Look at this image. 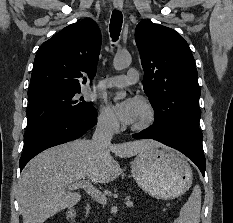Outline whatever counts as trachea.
Listing matches in <instances>:
<instances>
[{
	"instance_id": "obj_1",
	"label": "trachea",
	"mask_w": 233,
	"mask_h": 223,
	"mask_svg": "<svg viewBox=\"0 0 233 223\" xmlns=\"http://www.w3.org/2000/svg\"><path fill=\"white\" fill-rule=\"evenodd\" d=\"M123 22V16L122 13L118 10H114L111 16L110 21V34L113 41H116L120 35L121 27Z\"/></svg>"
}]
</instances>
